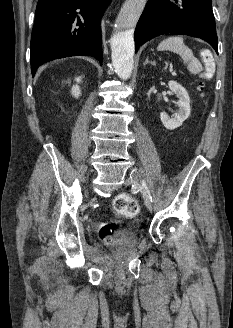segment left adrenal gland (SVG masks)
<instances>
[{"label":"left adrenal gland","mask_w":233,"mask_h":328,"mask_svg":"<svg viewBox=\"0 0 233 328\" xmlns=\"http://www.w3.org/2000/svg\"><path fill=\"white\" fill-rule=\"evenodd\" d=\"M147 64H151V65H156V63L154 61H149L148 58H146L145 62L143 63L144 66H146Z\"/></svg>","instance_id":"obj_1"}]
</instances>
